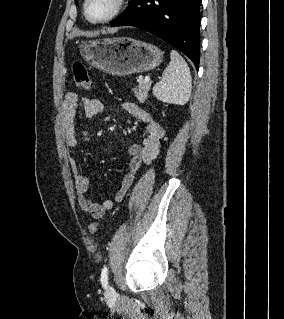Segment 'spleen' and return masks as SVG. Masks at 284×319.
<instances>
[{
  "label": "spleen",
  "instance_id": "3e777b00",
  "mask_svg": "<svg viewBox=\"0 0 284 319\" xmlns=\"http://www.w3.org/2000/svg\"><path fill=\"white\" fill-rule=\"evenodd\" d=\"M170 57L171 61L162 79L155 84L153 94L160 101L184 105L189 100L192 88L190 70L177 51L172 50Z\"/></svg>",
  "mask_w": 284,
  "mask_h": 319
}]
</instances>
